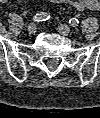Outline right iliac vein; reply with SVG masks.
Returning <instances> with one entry per match:
<instances>
[{
    "label": "right iliac vein",
    "mask_w": 100,
    "mask_h": 118,
    "mask_svg": "<svg viewBox=\"0 0 100 118\" xmlns=\"http://www.w3.org/2000/svg\"><path fill=\"white\" fill-rule=\"evenodd\" d=\"M37 29H38V26L36 23L29 24V26L27 28V30L30 34H34L37 31Z\"/></svg>",
    "instance_id": "right-iliac-vein-1"
}]
</instances>
